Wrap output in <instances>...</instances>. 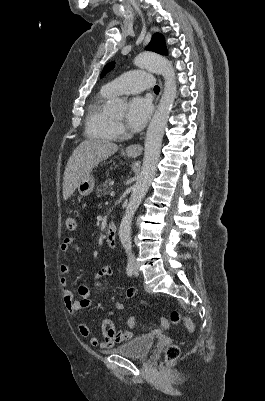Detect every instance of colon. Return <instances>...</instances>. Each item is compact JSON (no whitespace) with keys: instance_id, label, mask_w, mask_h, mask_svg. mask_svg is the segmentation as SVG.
Listing matches in <instances>:
<instances>
[{"instance_id":"1","label":"colon","mask_w":265,"mask_h":401,"mask_svg":"<svg viewBox=\"0 0 265 401\" xmlns=\"http://www.w3.org/2000/svg\"><path fill=\"white\" fill-rule=\"evenodd\" d=\"M65 225L69 231H74L77 227L76 219L73 216H68L65 220ZM170 323L171 324L183 323L189 331H193V329H194V324H193L192 320L189 317L181 314L179 311H172L170 313L168 319L167 318L161 319L162 327H167ZM135 324H136L135 317L131 316L128 319V325L130 327H134ZM179 353H180V350L177 345H171V346L167 347L165 350L166 361L170 362V361L175 360L179 356Z\"/></svg>"}]
</instances>
